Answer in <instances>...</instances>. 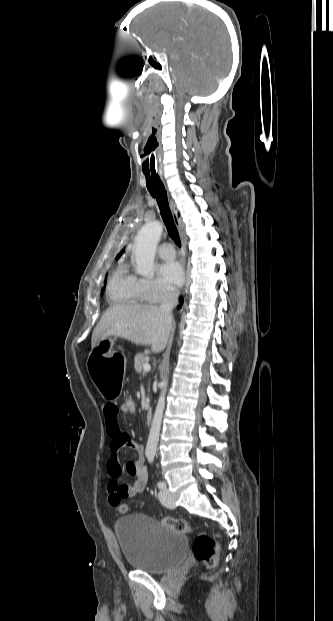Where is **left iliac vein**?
Returning a JSON list of instances; mask_svg holds the SVG:
<instances>
[{"instance_id":"4c4485c4","label":"left iliac vein","mask_w":333,"mask_h":621,"mask_svg":"<svg viewBox=\"0 0 333 621\" xmlns=\"http://www.w3.org/2000/svg\"><path fill=\"white\" fill-rule=\"evenodd\" d=\"M159 500L162 503V505H164L167 508L175 507L174 499L166 487L161 489L159 493Z\"/></svg>"}]
</instances>
